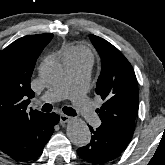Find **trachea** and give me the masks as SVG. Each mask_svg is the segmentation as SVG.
<instances>
[{
  "instance_id": "1",
  "label": "trachea",
  "mask_w": 165,
  "mask_h": 165,
  "mask_svg": "<svg viewBox=\"0 0 165 165\" xmlns=\"http://www.w3.org/2000/svg\"><path fill=\"white\" fill-rule=\"evenodd\" d=\"M53 109L52 105L51 104H44L42 107H41V110L43 112H51ZM63 112L66 114V115H69V116H76L77 113L76 111L71 108V107H63Z\"/></svg>"
}]
</instances>
